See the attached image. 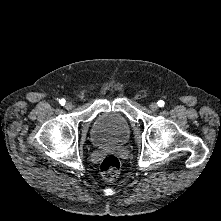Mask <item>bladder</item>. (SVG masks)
<instances>
[{"mask_svg": "<svg viewBox=\"0 0 221 221\" xmlns=\"http://www.w3.org/2000/svg\"><path fill=\"white\" fill-rule=\"evenodd\" d=\"M131 135L129 123L121 116L103 114L92 125L90 138L99 147L120 146L125 144Z\"/></svg>", "mask_w": 221, "mask_h": 221, "instance_id": "bladder-1", "label": "bladder"}]
</instances>
